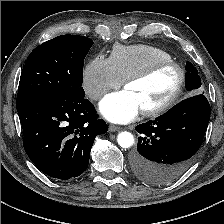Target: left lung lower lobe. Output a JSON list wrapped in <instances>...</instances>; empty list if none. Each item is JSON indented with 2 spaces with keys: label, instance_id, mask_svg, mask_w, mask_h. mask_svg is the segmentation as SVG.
<instances>
[{
  "label": "left lung lower lobe",
  "instance_id": "1",
  "mask_svg": "<svg viewBox=\"0 0 224 224\" xmlns=\"http://www.w3.org/2000/svg\"><path fill=\"white\" fill-rule=\"evenodd\" d=\"M210 119V105L196 94L154 121L136 126L137 150L133 155L135 176L151 185L178 179L191 165Z\"/></svg>",
  "mask_w": 224,
  "mask_h": 224
}]
</instances>
